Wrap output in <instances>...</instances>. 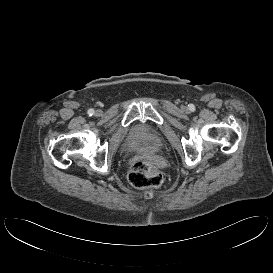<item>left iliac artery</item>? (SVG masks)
<instances>
[{
    "mask_svg": "<svg viewBox=\"0 0 273 273\" xmlns=\"http://www.w3.org/2000/svg\"><path fill=\"white\" fill-rule=\"evenodd\" d=\"M190 109H194V106H193V105H190Z\"/></svg>",
    "mask_w": 273,
    "mask_h": 273,
    "instance_id": "44dca946",
    "label": "left iliac artery"
}]
</instances>
